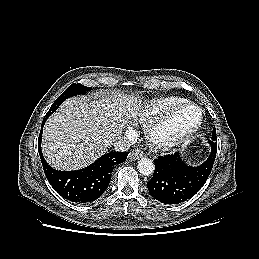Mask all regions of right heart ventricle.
Returning a JSON list of instances; mask_svg holds the SVG:
<instances>
[{
    "label": "right heart ventricle",
    "mask_w": 259,
    "mask_h": 259,
    "mask_svg": "<svg viewBox=\"0 0 259 259\" xmlns=\"http://www.w3.org/2000/svg\"><path fill=\"white\" fill-rule=\"evenodd\" d=\"M181 97L169 96L148 100L144 102L136 112L135 121L146 124L169 110L186 103Z\"/></svg>",
    "instance_id": "1"
}]
</instances>
